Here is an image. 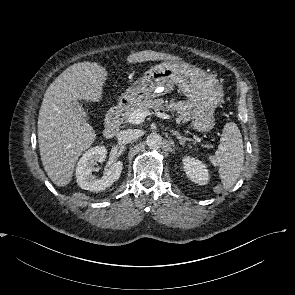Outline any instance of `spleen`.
<instances>
[{
	"label": "spleen",
	"instance_id": "obj_1",
	"mask_svg": "<svg viewBox=\"0 0 295 295\" xmlns=\"http://www.w3.org/2000/svg\"><path fill=\"white\" fill-rule=\"evenodd\" d=\"M209 159L212 165L219 167L223 187L233 186L243 170L244 163L242 136L234 122L225 124L218 149Z\"/></svg>",
	"mask_w": 295,
	"mask_h": 295
}]
</instances>
